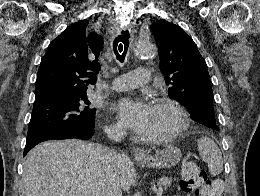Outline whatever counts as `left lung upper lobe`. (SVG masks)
I'll return each instance as SVG.
<instances>
[{
    "instance_id": "5c2ea615",
    "label": "left lung upper lobe",
    "mask_w": 260,
    "mask_h": 196,
    "mask_svg": "<svg viewBox=\"0 0 260 196\" xmlns=\"http://www.w3.org/2000/svg\"><path fill=\"white\" fill-rule=\"evenodd\" d=\"M150 28L158 46L160 70L169 86L168 96L190 113L195 107H213L208 69L192 38L164 19ZM206 126L219 130L216 121Z\"/></svg>"
}]
</instances>
